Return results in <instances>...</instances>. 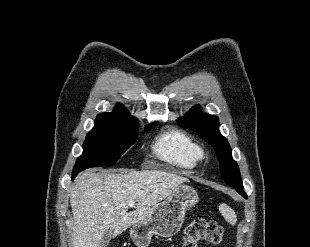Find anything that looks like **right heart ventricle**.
<instances>
[{
  "label": "right heart ventricle",
  "instance_id": "obj_1",
  "mask_svg": "<svg viewBox=\"0 0 310 247\" xmlns=\"http://www.w3.org/2000/svg\"><path fill=\"white\" fill-rule=\"evenodd\" d=\"M153 150L164 162L183 169L196 167L204 156L200 144L191 135L176 128L158 136Z\"/></svg>",
  "mask_w": 310,
  "mask_h": 247
}]
</instances>
